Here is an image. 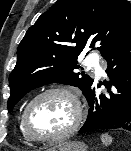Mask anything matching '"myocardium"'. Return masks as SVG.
I'll return each mask as SVG.
<instances>
[{
  "mask_svg": "<svg viewBox=\"0 0 131 151\" xmlns=\"http://www.w3.org/2000/svg\"><path fill=\"white\" fill-rule=\"evenodd\" d=\"M53 94L62 95L71 102L73 106L72 121L65 130H63L62 132L56 135L47 136V137L36 136L30 131L28 126L29 111L38 100ZM82 119H83V108H82L81 101L79 97L76 95V93H74L71 89L65 86H52L37 93L27 103L21 116V126H22L23 133L30 141L37 142V143H52V142L61 141L66 137H68L69 135H71L74 131H76L77 128L80 126Z\"/></svg>",
  "mask_w": 131,
  "mask_h": 151,
  "instance_id": "f54148a6",
  "label": "myocardium"
}]
</instances>
